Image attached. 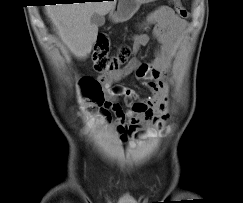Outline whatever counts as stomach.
I'll list each match as a JSON object with an SVG mask.
<instances>
[{"label": "stomach", "mask_w": 243, "mask_h": 203, "mask_svg": "<svg viewBox=\"0 0 243 203\" xmlns=\"http://www.w3.org/2000/svg\"><path fill=\"white\" fill-rule=\"evenodd\" d=\"M156 0H118L117 5L109 13V18L114 23L125 22L133 17L140 6Z\"/></svg>", "instance_id": "0dacf381"}]
</instances>
